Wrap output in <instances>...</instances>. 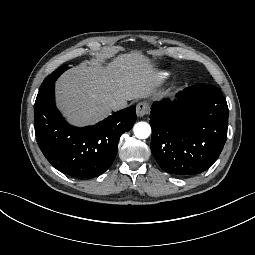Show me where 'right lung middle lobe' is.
I'll return each instance as SVG.
<instances>
[{
    "mask_svg": "<svg viewBox=\"0 0 255 255\" xmlns=\"http://www.w3.org/2000/svg\"><path fill=\"white\" fill-rule=\"evenodd\" d=\"M69 67L67 65H64V66H61L59 67L58 69H56L53 73H51L49 76H47L40 89L44 88V87H47V86H50V85H53L56 81V79L64 72L68 69Z\"/></svg>",
    "mask_w": 255,
    "mask_h": 255,
    "instance_id": "1",
    "label": "right lung middle lobe"
}]
</instances>
